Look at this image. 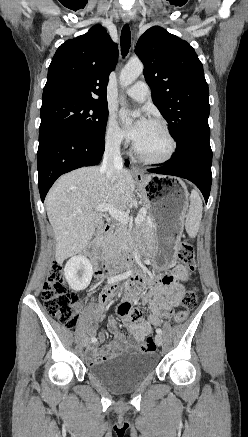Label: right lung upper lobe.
<instances>
[{"instance_id":"cb5924a9","label":"right lung upper lobe","mask_w":248,"mask_h":437,"mask_svg":"<svg viewBox=\"0 0 248 437\" xmlns=\"http://www.w3.org/2000/svg\"><path fill=\"white\" fill-rule=\"evenodd\" d=\"M117 59V44L103 27L93 26L86 34L67 40L57 49L42 98L69 96L107 105L108 77Z\"/></svg>"}]
</instances>
